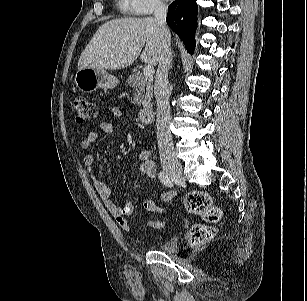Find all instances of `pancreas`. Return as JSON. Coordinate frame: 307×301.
<instances>
[{
  "mask_svg": "<svg viewBox=\"0 0 307 301\" xmlns=\"http://www.w3.org/2000/svg\"><path fill=\"white\" fill-rule=\"evenodd\" d=\"M152 82V78L146 77L140 72L129 76L126 83L135 90L133 104L141 106L143 101L151 102L153 96Z\"/></svg>",
  "mask_w": 307,
  "mask_h": 301,
  "instance_id": "pancreas-1",
  "label": "pancreas"
}]
</instances>
